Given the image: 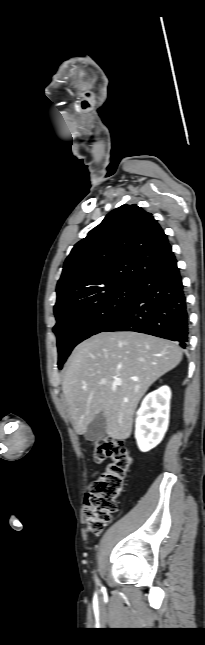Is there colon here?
<instances>
[{"label":"colon","instance_id":"obj_1","mask_svg":"<svg viewBox=\"0 0 205 645\" xmlns=\"http://www.w3.org/2000/svg\"><path fill=\"white\" fill-rule=\"evenodd\" d=\"M93 457L97 463L111 459L101 476L93 482L85 499L88 531L99 534L117 511V498L132 466V457L121 441L100 438L94 443Z\"/></svg>","mask_w":205,"mask_h":645}]
</instances>
